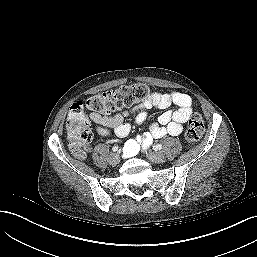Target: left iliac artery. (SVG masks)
I'll return each instance as SVG.
<instances>
[{
	"label": "left iliac artery",
	"mask_w": 257,
	"mask_h": 257,
	"mask_svg": "<svg viewBox=\"0 0 257 257\" xmlns=\"http://www.w3.org/2000/svg\"><path fill=\"white\" fill-rule=\"evenodd\" d=\"M153 149L156 150V151L160 150V149H162V145L161 144H156V145L153 146Z\"/></svg>",
	"instance_id": "44dca946"
}]
</instances>
